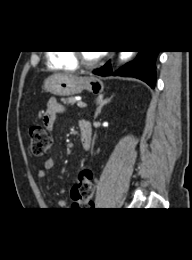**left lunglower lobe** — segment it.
<instances>
[{
	"mask_svg": "<svg viewBox=\"0 0 192 260\" xmlns=\"http://www.w3.org/2000/svg\"><path fill=\"white\" fill-rule=\"evenodd\" d=\"M159 51H139L137 58L121 67L113 75L124 77H135L146 82L150 87L154 88L156 82L155 60ZM94 74L100 76H108L112 74L110 62L104 66L94 70Z\"/></svg>",
	"mask_w": 192,
	"mask_h": 260,
	"instance_id": "0a47b994",
	"label": "left lung lower lobe"
}]
</instances>
